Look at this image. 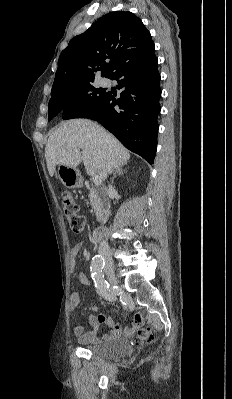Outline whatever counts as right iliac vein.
Instances as JSON below:
<instances>
[{"label": "right iliac vein", "instance_id": "63e3f726", "mask_svg": "<svg viewBox=\"0 0 232 399\" xmlns=\"http://www.w3.org/2000/svg\"><path fill=\"white\" fill-rule=\"evenodd\" d=\"M103 272L107 273V277H109V281L112 285L118 284L117 278L114 275L113 261H106V265L103 266Z\"/></svg>", "mask_w": 232, "mask_h": 399}]
</instances>
